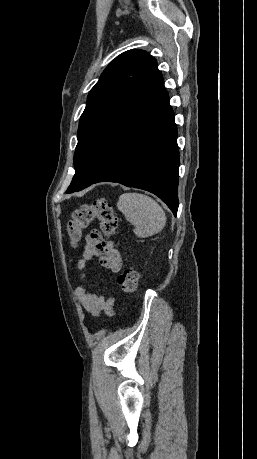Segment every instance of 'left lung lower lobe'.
I'll use <instances>...</instances> for the list:
<instances>
[{
    "mask_svg": "<svg viewBox=\"0 0 257 459\" xmlns=\"http://www.w3.org/2000/svg\"><path fill=\"white\" fill-rule=\"evenodd\" d=\"M178 168L174 113L158 72L108 134L102 166L91 184L118 182L147 190L176 214Z\"/></svg>",
    "mask_w": 257,
    "mask_h": 459,
    "instance_id": "1",
    "label": "left lung lower lobe"
}]
</instances>
